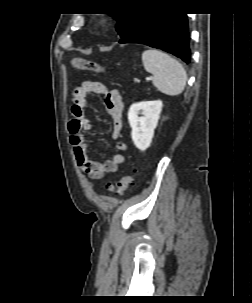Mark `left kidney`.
Returning a JSON list of instances; mask_svg holds the SVG:
<instances>
[{
	"label": "left kidney",
	"mask_w": 252,
	"mask_h": 303,
	"mask_svg": "<svg viewBox=\"0 0 252 303\" xmlns=\"http://www.w3.org/2000/svg\"><path fill=\"white\" fill-rule=\"evenodd\" d=\"M162 106L160 100L143 101L132 104L128 111V121L132 129L131 138L141 151H145L152 142ZM140 111H142L141 117L138 116Z\"/></svg>",
	"instance_id": "obj_1"
}]
</instances>
